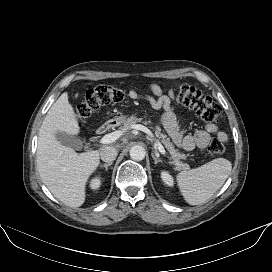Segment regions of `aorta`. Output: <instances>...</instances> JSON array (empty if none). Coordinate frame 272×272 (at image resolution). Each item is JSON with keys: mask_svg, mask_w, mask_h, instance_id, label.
<instances>
[{"mask_svg": "<svg viewBox=\"0 0 272 272\" xmlns=\"http://www.w3.org/2000/svg\"><path fill=\"white\" fill-rule=\"evenodd\" d=\"M130 157L135 161H141L145 158V149L140 145H135L130 149Z\"/></svg>", "mask_w": 272, "mask_h": 272, "instance_id": "762f6f07", "label": "aorta"}]
</instances>
